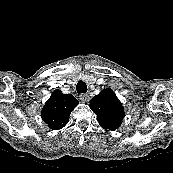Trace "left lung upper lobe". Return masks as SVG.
I'll use <instances>...</instances> for the list:
<instances>
[{
	"label": "left lung upper lobe",
	"mask_w": 173,
	"mask_h": 173,
	"mask_svg": "<svg viewBox=\"0 0 173 173\" xmlns=\"http://www.w3.org/2000/svg\"><path fill=\"white\" fill-rule=\"evenodd\" d=\"M90 108L97 115L100 126L105 130L119 128L124 118V108L112 89L106 88L90 101Z\"/></svg>",
	"instance_id": "5c2ea615"
}]
</instances>
